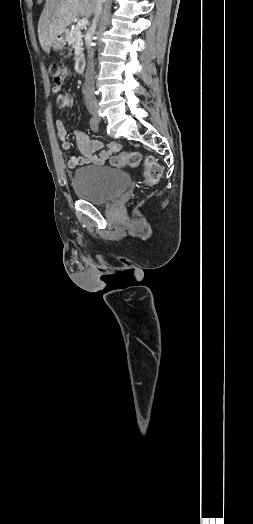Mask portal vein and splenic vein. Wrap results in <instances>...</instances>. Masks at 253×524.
Instances as JSON below:
<instances>
[{
  "instance_id": "1",
  "label": "portal vein and splenic vein",
  "mask_w": 253,
  "mask_h": 524,
  "mask_svg": "<svg viewBox=\"0 0 253 524\" xmlns=\"http://www.w3.org/2000/svg\"><path fill=\"white\" fill-rule=\"evenodd\" d=\"M87 24H88V19H87V18H82V19L77 23V27H78V28H83V27H85Z\"/></svg>"
}]
</instances>
